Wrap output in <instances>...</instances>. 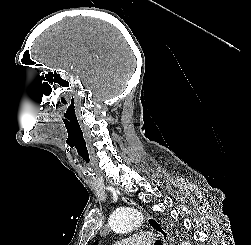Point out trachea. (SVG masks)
<instances>
[{"label": "trachea", "instance_id": "3493384b", "mask_svg": "<svg viewBox=\"0 0 251 245\" xmlns=\"http://www.w3.org/2000/svg\"><path fill=\"white\" fill-rule=\"evenodd\" d=\"M155 245H162V243H161L160 240H157V241L155 242Z\"/></svg>", "mask_w": 251, "mask_h": 245}]
</instances>
